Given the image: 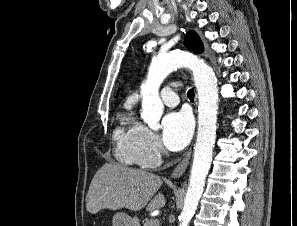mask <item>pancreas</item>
Listing matches in <instances>:
<instances>
[{
    "label": "pancreas",
    "instance_id": "1",
    "mask_svg": "<svg viewBox=\"0 0 297 226\" xmlns=\"http://www.w3.org/2000/svg\"><path fill=\"white\" fill-rule=\"evenodd\" d=\"M144 226H160V223H159V221L157 223H154L153 220H147L144 223Z\"/></svg>",
    "mask_w": 297,
    "mask_h": 226
}]
</instances>
